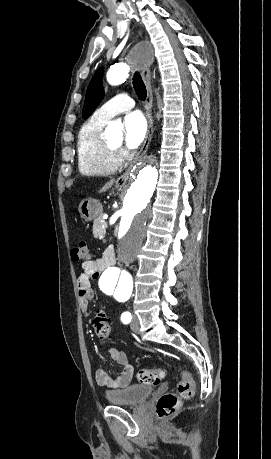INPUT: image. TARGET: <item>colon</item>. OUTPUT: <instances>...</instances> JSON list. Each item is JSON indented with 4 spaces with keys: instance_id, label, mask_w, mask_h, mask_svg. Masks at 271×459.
Here are the masks:
<instances>
[{
    "instance_id": "obj_1",
    "label": "colon",
    "mask_w": 271,
    "mask_h": 459,
    "mask_svg": "<svg viewBox=\"0 0 271 459\" xmlns=\"http://www.w3.org/2000/svg\"><path fill=\"white\" fill-rule=\"evenodd\" d=\"M72 260L75 262L88 261L91 259V251L87 242L80 241L76 247L71 250ZM92 327L95 335L100 341L110 338L111 328L110 320L106 311L99 308L95 311L92 319ZM165 376L162 368L141 369L137 373L138 380L146 385L156 386L161 383ZM194 394V382L189 371L180 370V381L177 384L176 391H171L159 397L156 404V412L159 418H167L175 414L183 399H189Z\"/></svg>"
}]
</instances>
